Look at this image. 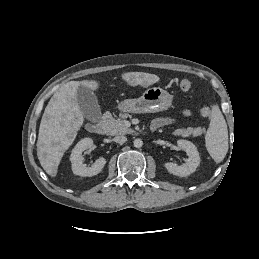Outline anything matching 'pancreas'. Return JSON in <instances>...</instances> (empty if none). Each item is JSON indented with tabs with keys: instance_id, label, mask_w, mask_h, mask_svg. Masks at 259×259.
Here are the masks:
<instances>
[{
	"instance_id": "obj_1",
	"label": "pancreas",
	"mask_w": 259,
	"mask_h": 259,
	"mask_svg": "<svg viewBox=\"0 0 259 259\" xmlns=\"http://www.w3.org/2000/svg\"><path fill=\"white\" fill-rule=\"evenodd\" d=\"M104 125L107 129V132L109 135H125V134H131L133 133V130L129 127H127L123 120L121 119H114L113 116L108 113L106 115V118L104 120ZM204 132V129L198 127V128H182L176 131V134L179 135H193L198 136L201 135Z\"/></svg>"
}]
</instances>
